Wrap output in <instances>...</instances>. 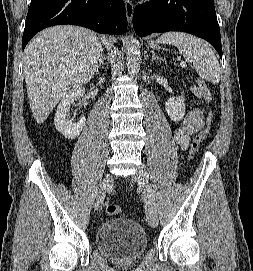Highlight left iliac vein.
I'll return each instance as SVG.
<instances>
[{
    "label": "left iliac vein",
    "instance_id": "obj_1",
    "mask_svg": "<svg viewBox=\"0 0 253 271\" xmlns=\"http://www.w3.org/2000/svg\"><path fill=\"white\" fill-rule=\"evenodd\" d=\"M132 179L138 182V184L142 187L145 198H146V217L148 224L156 228L158 226V216L157 211L153 207L148 198L147 189H148V173L144 166H141L133 175Z\"/></svg>",
    "mask_w": 253,
    "mask_h": 271
}]
</instances>
